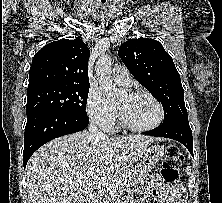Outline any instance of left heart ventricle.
<instances>
[{"label": "left heart ventricle", "instance_id": "b2bd125f", "mask_svg": "<svg viewBox=\"0 0 222 203\" xmlns=\"http://www.w3.org/2000/svg\"><path fill=\"white\" fill-rule=\"evenodd\" d=\"M116 103L128 122L136 126L150 125L159 116L157 106L147 97H128L122 94Z\"/></svg>", "mask_w": 222, "mask_h": 203}]
</instances>
